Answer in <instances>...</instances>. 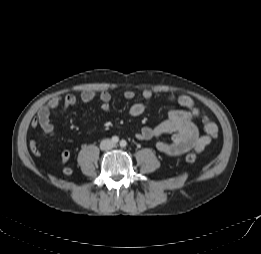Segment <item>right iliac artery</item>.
I'll use <instances>...</instances> for the list:
<instances>
[{
  "label": "right iliac artery",
  "instance_id": "obj_1",
  "mask_svg": "<svg viewBox=\"0 0 261 254\" xmlns=\"http://www.w3.org/2000/svg\"><path fill=\"white\" fill-rule=\"evenodd\" d=\"M111 140L113 143H118L119 138L117 136H113Z\"/></svg>",
  "mask_w": 261,
  "mask_h": 254
}]
</instances>
